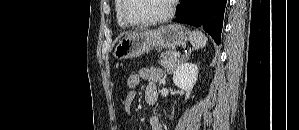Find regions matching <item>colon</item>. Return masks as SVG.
I'll list each match as a JSON object with an SVG mask.
<instances>
[{
    "instance_id": "obj_1",
    "label": "colon",
    "mask_w": 299,
    "mask_h": 130,
    "mask_svg": "<svg viewBox=\"0 0 299 130\" xmlns=\"http://www.w3.org/2000/svg\"><path fill=\"white\" fill-rule=\"evenodd\" d=\"M140 75L139 72L130 73L127 76L126 84L129 92L136 91L140 84Z\"/></svg>"
}]
</instances>
